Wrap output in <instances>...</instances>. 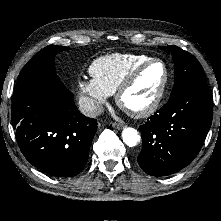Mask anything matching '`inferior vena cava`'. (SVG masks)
Masks as SVG:
<instances>
[{
    "label": "inferior vena cava",
    "mask_w": 221,
    "mask_h": 221,
    "mask_svg": "<svg viewBox=\"0 0 221 221\" xmlns=\"http://www.w3.org/2000/svg\"><path fill=\"white\" fill-rule=\"evenodd\" d=\"M79 109L88 117H96L104 111L103 106L99 102L89 97H80Z\"/></svg>",
    "instance_id": "1"
}]
</instances>
